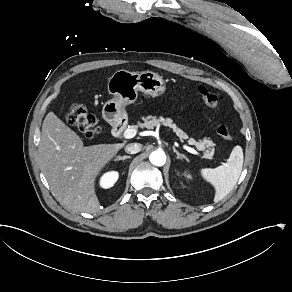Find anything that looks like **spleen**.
Returning a JSON list of instances; mask_svg holds the SVG:
<instances>
[{"label":"spleen","mask_w":292,"mask_h":292,"mask_svg":"<svg viewBox=\"0 0 292 292\" xmlns=\"http://www.w3.org/2000/svg\"><path fill=\"white\" fill-rule=\"evenodd\" d=\"M243 150L240 145L233 147L226 164L216 168H200V177L214 188V202L222 200L236 185L243 167Z\"/></svg>","instance_id":"3e777b00"}]
</instances>
